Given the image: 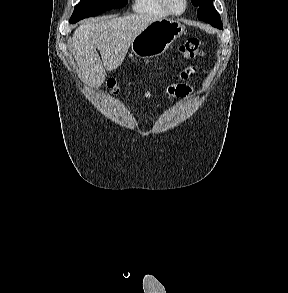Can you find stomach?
I'll list each match as a JSON object with an SVG mask.
<instances>
[{"instance_id": "1", "label": "stomach", "mask_w": 288, "mask_h": 293, "mask_svg": "<svg viewBox=\"0 0 288 293\" xmlns=\"http://www.w3.org/2000/svg\"><path fill=\"white\" fill-rule=\"evenodd\" d=\"M180 22L161 18L151 22L132 41V53L139 58H152L163 54L184 32Z\"/></svg>"}]
</instances>
